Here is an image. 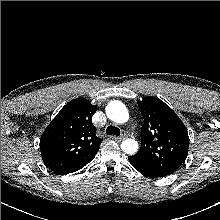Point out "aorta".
Instances as JSON below:
<instances>
[{
    "label": "aorta",
    "mask_w": 220,
    "mask_h": 220,
    "mask_svg": "<svg viewBox=\"0 0 220 220\" xmlns=\"http://www.w3.org/2000/svg\"><path fill=\"white\" fill-rule=\"evenodd\" d=\"M107 117L116 123L123 124L128 121L129 113L126 106L120 101H112L106 106ZM138 142L135 139H125L121 143V149L128 155H134L138 151Z\"/></svg>",
    "instance_id": "762f6f07"
}]
</instances>
